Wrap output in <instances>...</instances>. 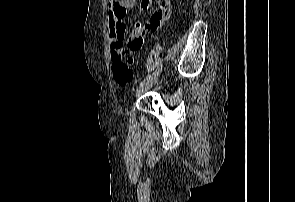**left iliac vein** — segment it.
Here are the masks:
<instances>
[{
    "mask_svg": "<svg viewBox=\"0 0 295 202\" xmlns=\"http://www.w3.org/2000/svg\"><path fill=\"white\" fill-rule=\"evenodd\" d=\"M157 80H158V78L155 77V78L148 80L145 83L139 85V87L136 90V96H139L142 93H144L145 91H147L150 87H152L157 82Z\"/></svg>",
    "mask_w": 295,
    "mask_h": 202,
    "instance_id": "left-iliac-vein-1",
    "label": "left iliac vein"
}]
</instances>
